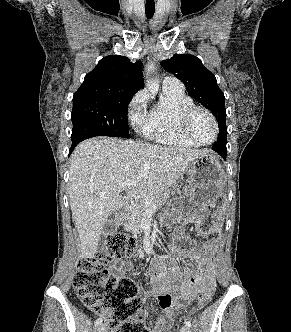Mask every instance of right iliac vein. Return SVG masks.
<instances>
[{
  "instance_id": "63e3f726",
  "label": "right iliac vein",
  "mask_w": 291,
  "mask_h": 332,
  "mask_svg": "<svg viewBox=\"0 0 291 332\" xmlns=\"http://www.w3.org/2000/svg\"><path fill=\"white\" fill-rule=\"evenodd\" d=\"M97 332H106V327H105V325H100L99 327H98V330H97Z\"/></svg>"
}]
</instances>
